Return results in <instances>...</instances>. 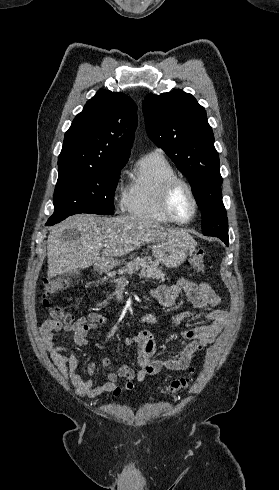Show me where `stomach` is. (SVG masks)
<instances>
[{
	"label": "stomach",
	"instance_id": "0dacf381",
	"mask_svg": "<svg viewBox=\"0 0 279 490\" xmlns=\"http://www.w3.org/2000/svg\"><path fill=\"white\" fill-rule=\"evenodd\" d=\"M188 244H186L184 238H171V240H165V242H159L152 248V254L156 262H160L166 268H179L183 262H185L189 254ZM120 260H109L104 264V272H109L114 266H119Z\"/></svg>",
	"mask_w": 279,
	"mask_h": 490
}]
</instances>
